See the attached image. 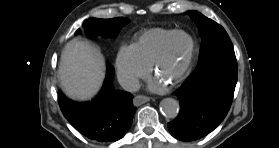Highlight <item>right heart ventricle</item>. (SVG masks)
<instances>
[{
	"instance_id": "right-heart-ventricle-1",
	"label": "right heart ventricle",
	"mask_w": 279,
	"mask_h": 148,
	"mask_svg": "<svg viewBox=\"0 0 279 148\" xmlns=\"http://www.w3.org/2000/svg\"><path fill=\"white\" fill-rule=\"evenodd\" d=\"M175 30L152 28L141 33L131 46L139 59L151 66L165 40Z\"/></svg>"
}]
</instances>
